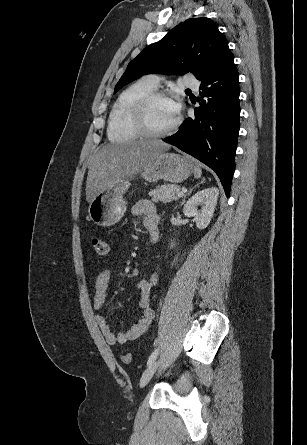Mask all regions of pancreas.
Here are the masks:
<instances>
[{
	"label": "pancreas",
	"instance_id": "pancreas-1",
	"mask_svg": "<svg viewBox=\"0 0 307 445\" xmlns=\"http://www.w3.org/2000/svg\"><path fill=\"white\" fill-rule=\"evenodd\" d=\"M180 192L178 184H161V186H156L154 190L149 192L152 196L151 200L153 202H171V200H177L176 194Z\"/></svg>",
	"mask_w": 307,
	"mask_h": 445
}]
</instances>
